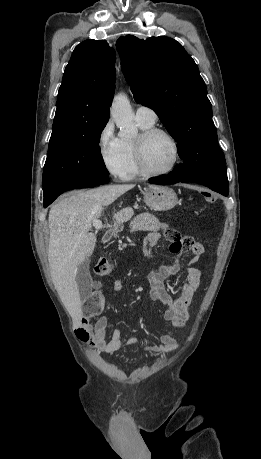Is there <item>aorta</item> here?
Here are the masks:
<instances>
[{"mask_svg":"<svg viewBox=\"0 0 261 459\" xmlns=\"http://www.w3.org/2000/svg\"><path fill=\"white\" fill-rule=\"evenodd\" d=\"M110 114L123 137L133 138L137 136L138 128L134 120V113L125 94H118L114 97Z\"/></svg>","mask_w":261,"mask_h":459,"instance_id":"762f6f07","label":"aorta"}]
</instances>
